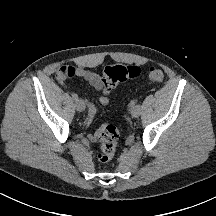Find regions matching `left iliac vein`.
<instances>
[{"label": "left iliac vein", "instance_id": "obj_1", "mask_svg": "<svg viewBox=\"0 0 216 216\" xmlns=\"http://www.w3.org/2000/svg\"><path fill=\"white\" fill-rule=\"evenodd\" d=\"M131 115L135 118L140 115V106L139 105L132 107Z\"/></svg>", "mask_w": 216, "mask_h": 216}]
</instances>
